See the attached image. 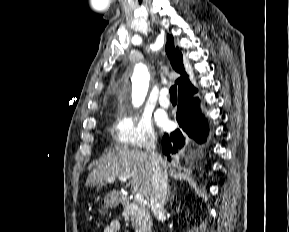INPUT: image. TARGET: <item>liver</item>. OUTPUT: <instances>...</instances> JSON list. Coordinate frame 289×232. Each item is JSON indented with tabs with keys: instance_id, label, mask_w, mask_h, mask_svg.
<instances>
[{
	"instance_id": "1",
	"label": "liver",
	"mask_w": 289,
	"mask_h": 232,
	"mask_svg": "<svg viewBox=\"0 0 289 232\" xmlns=\"http://www.w3.org/2000/svg\"><path fill=\"white\" fill-rule=\"evenodd\" d=\"M165 167L166 163L163 161ZM126 176L131 178L134 191L147 199L152 193L153 167L149 154L136 149L120 147L114 155L104 158L90 173L86 186H98L107 182L108 177Z\"/></svg>"
}]
</instances>
